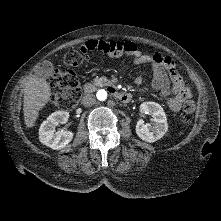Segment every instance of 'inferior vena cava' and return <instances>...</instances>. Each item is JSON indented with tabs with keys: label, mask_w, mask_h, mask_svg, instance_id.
Masks as SVG:
<instances>
[{
	"label": "inferior vena cava",
	"mask_w": 221,
	"mask_h": 221,
	"mask_svg": "<svg viewBox=\"0 0 221 221\" xmlns=\"http://www.w3.org/2000/svg\"><path fill=\"white\" fill-rule=\"evenodd\" d=\"M95 102H96V98L93 94H87L82 99V104L85 107H91L95 104Z\"/></svg>",
	"instance_id": "inferior-vena-cava-1"
}]
</instances>
